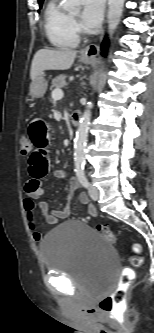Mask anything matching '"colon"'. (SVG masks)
<instances>
[{"mask_svg":"<svg viewBox=\"0 0 154 333\" xmlns=\"http://www.w3.org/2000/svg\"><path fill=\"white\" fill-rule=\"evenodd\" d=\"M20 149L23 155H27L31 151V144L27 134H22L19 138ZM98 232L109 240L111 243L115 242V236L110 230V228L106 225H99L97 227ZM133 250L135 252V256L131 259V264L134 267H140L143 264V258L139 256L141 251V247L139 244H135L133 246ZM134 278V272L130 268H125L120 277L119 284L114 292L104 296L100 299L98 306L99 309L107 314L112 316H121L124 308H125V298L126 292L129 287L130 282Z\"/></svg>","mask_w":154,"mask_h":333,"instance_id":"obj_1","label":"colon"}]
</instances>
